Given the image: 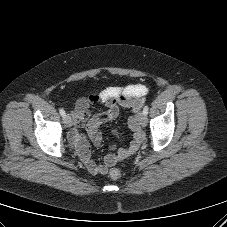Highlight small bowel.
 <instances>
[{"mask_svg":"<svg viewBox=\"0 0 227 227\" xmlns=\"http://www.w3.org/2000/svg\"><path fill=\"white\" fill-rule=\"evenodd\" d=\"M146 92L147 89L142 84H134L126 88L109 87L91 94L88 97L80 98L76 102L75 110L73 112L76 128L70 132L69 137L76 148L80 159L91 174L103 175L107 172L109 167L135 153L143 142L144 135L139 128L136 117H130L128 120V127L132 133V140L128 146L125 148L113 146L111 152L105 157L104 162L97 163L91 159L86 136L78 127L85 128L87 136L92 143L98 147L102 139L99 129L100 126L107 121L117 118L121 106L131 108L134 111L139 110L144 102ZM95 104L104 105L106 110L91 116L89 108L91 105ZM114 133L119 135L117 131Z\"/></svg>","mask_w":227,"mask_h":227,"instance_id":"1","label":"small bowel"}]
</instances>
